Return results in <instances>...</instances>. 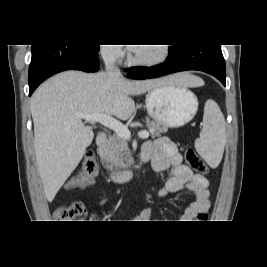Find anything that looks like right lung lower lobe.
I'll list each match as a JSON object with an SVG mask.
<instances>
[{
	"label": "right lung lower lobe",
	"instance_id": "1",
	"mask_svg": "<svg viewBox=\"0 0 267 267\" xmlns=\"http://www.w3.org/2000/svg\"><path fill=\"white\" fill-rule=\"evenodd\" d=\"M98 51L88 45H32L29 68V96L48 77L65 70L96 72Z\"/></svg>",
	"mask_w": 267,
	"mask_h": 267
}]
</instances>
